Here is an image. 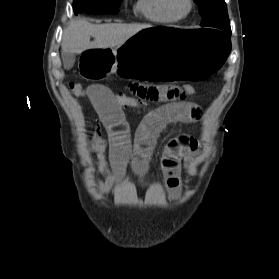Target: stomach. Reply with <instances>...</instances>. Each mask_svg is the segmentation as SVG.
Returning a JSON list of instances; mask_svg holds the SVG:
<instances>
[{
    "label": "stomach",
    "instance_id": "stomach-1",
    "mask_svg": "<svg viewBox=\"0 0 279 279\" xmlns=\"http://www.w3.org/2000/svg\"><path fill=\"white\" fill-rule=\"evenodd\" d=\"M228 37L208 29L147 25L117 47L80 50L75 75L83 82H105L122 75L145 79L153 87L214 82L231 55L226 49H232V44L223 40ZM134 87H143V82H134Z\"/></svg>",
    "mask_w": 279,
    "mask_h": 279
}]
</instances>
